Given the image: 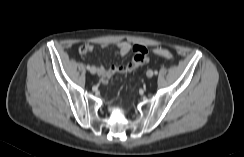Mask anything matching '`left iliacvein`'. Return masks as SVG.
Wrapping results in <instances>:
<instances>
[{
    "mask_svg": "<svg viewBox=\"0 0 244 157\" xmlns=\"http://www.w3.org/2000/svg\"><path fill=\"white\" fill-rule=\"evenodd\" d=\"M147 76L150 78L153 76V71L152 70H148L147 71Z\"/></svg>",
    "mask_w": 244,
    "mask_h": 157,
    "instance_id": "4c4485c4",
    "label": "left iliac vein"
}]
</instances>
